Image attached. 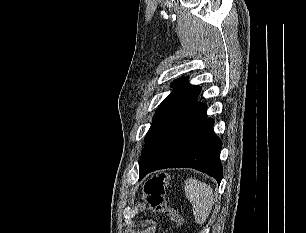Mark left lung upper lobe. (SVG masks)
<instances>
[{
    "label": "left lung upper lobe",
    "mask_w": 306,
    "mask_h": 233,
    "mask_svg": "<svg viewBox=\"0 0 306 233\" xmlns=\"http://www.w3.org/2000/svg\"><path fill=\"white\" fill-rule=\"evenodd\" d=\"M174 91L165 98L158 107L151 127L146 136V144L142 151L140 165L149 156L160 139L181 120L197 102L201 88L187 83V78H179L173 82Z\"/></svg>",
    "instance_id": "5c2ea615"
}]
</instances>
